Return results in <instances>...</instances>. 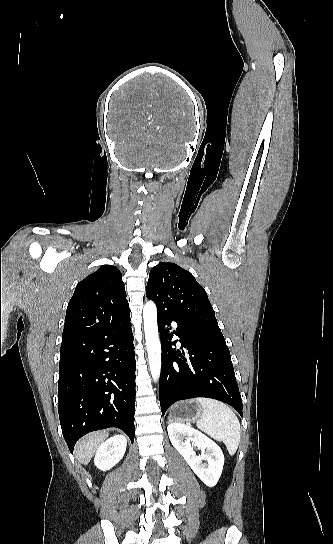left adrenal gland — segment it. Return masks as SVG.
Listing matches in <instances>:
<instances>
[{
  "label": "left adrenal gland",
  "instance_id": "left-adrenal-gland-1",
  "mask_svg": "<svg viewBox=\"0 0 333 544\" xmlns=\"http://www.w3.org/2000/svg\"><path fill=\"white\" fill-rule=\"evenodd\" d=\"M168 423H171V420L169 419Z\"/></svg>",
  "mask_w": 333,
  "mask_h": 544
}]
</instances>
